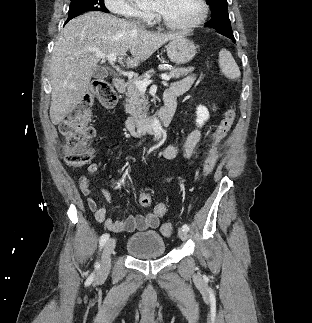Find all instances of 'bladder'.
I'll return each mask as SVG.
<instances>
[{
  "mask_svg": "<svg viewBox=\"0 0 312 323\" xmlns=\"http://www.w3.org/2000/svg\"><path fill=\"white\" fill-rule=\"evenodd\" d=\"M126 250L133 257L146 259L163 257L166 252V242L157 231H146L131 235L127 239Z\"/></svg>",
  "mask_w": 312,
  "mask_h": 323,
  "instance_id": "obj_1",
  "label": "bladder"
}]
</instances>
